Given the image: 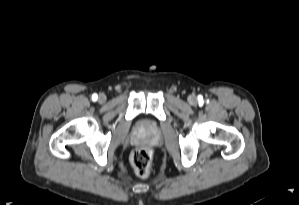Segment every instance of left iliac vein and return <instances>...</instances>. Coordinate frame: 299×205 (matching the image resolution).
<instances>
[{
	"label": "left iliac vein",
	"instance_id": "4c4485c4",
	"mask_svg": "<svg viewBox=\"0 0 299 205\" xmlns=\"http://www.w3.org/2000/svg\"><path fill=\"white\" fill-rule=\"evenodd\" d=\"M189 102H190L191 104H195V103H196V97H195V96H190V98H189Z\"/></svg>",
	"mask_w": 299,
	"mask_h": 205
}]
</instances>
